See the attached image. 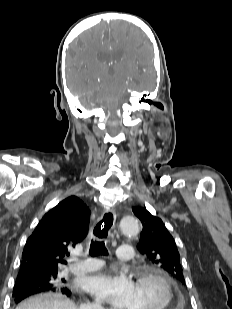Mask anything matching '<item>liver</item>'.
<instances>
[{
	"mask_svg": "<svg viewBox=\"0 0 232 309\" xmlns=\"http://www.w3.org/2000/svg\"><path fill=\"white\" fill-rule=\"evenodd\" d=\"M16 309H78L74 302L67 299L60 293H45L32 296L21 304Z\"/></svg>",
	"mask_w": 232,
	"mask_h": 309,
	"instance_id": "1",
	"label": "liver"
}]
</instances>
